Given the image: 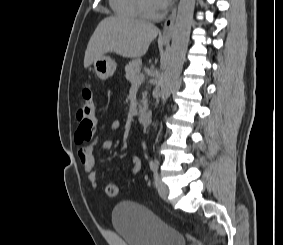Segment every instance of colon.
<instances>
[{
  "instance_id": "1",
  "label": "colon",
  "mask_w": 283,
  "mask_h": 245,
  "mask_svg": "<svg viewBox=\"0 0 283 245\" xmlns=\"http://www.w3.org/2000/svg\"><path fill=\"white\" fill-rule=\"evenodd\" d=\"M76 118L78 127L75 133V142L78 144L89 142L95 130V105L93 90L90 84H86L81 92V103L77 111ZM106 193L110 197H116L119 189L115 183H109L106 186Z\"/></svg>"
}]
</instances>
